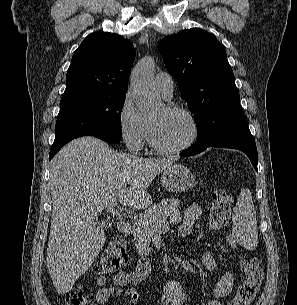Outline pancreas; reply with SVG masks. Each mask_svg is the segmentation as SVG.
<instances>
[{
    "label": "pancreas",
    "instance_id": "cf45deb5",
    "mask_svg": "<svg viewBox=\"0 0 297 305\" xmlns=\"http://www.w3.org/2000/svg\"><path fill=\"white\" fill-rule=\"evenodd\" d=\"M178 205L177 199H164L152 205L135 220L134 241L139 255H149V245L159 231L160 224L166 220L171 224H177L182 220Z\"/></svg>",
    "mask_w": 297,
    "mask_h": 305
}]
</instances>
